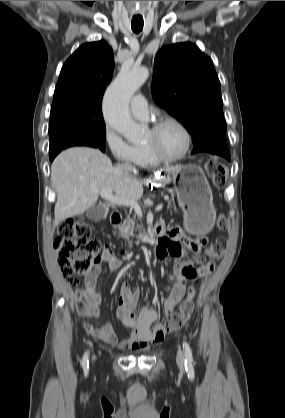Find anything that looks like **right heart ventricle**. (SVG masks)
I'll return each instance as SVG.
<instances>
[{
  "label": "right heart ventricle",
  "mask_w": 285,
  "mask_h": 418,
  "mask_svg": "<svg viewBox=\"0 0 285 418\" xmlns=\"http://www.w3.org/2000/svg\"><path fill=\"white\" fill-rule=\"evenodd\" d=\"M135 162L142 166H156L158 161L154 160L147 152L144 144H132Z\"/></svg>",
  "instance_id": "right-heart-ventricle-1"
}]
</instances>
